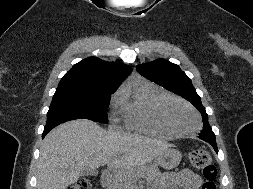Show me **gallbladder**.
Segmentation results:
<instances>
[{"label":"gallbladder","mask_w":253,"mask_h":189,"mask_svg":"<svg viewBox=\"0 0 253 189\" xmlns=\"http://www.w3.org/2000/svg\"><path fill=\"white\" fill-rule=\"evenodd\" d=\"M98 171L96 169L84 168L81 172L82 176L85 175H97Z\"/></svg>","instance_id":"bac80fb5"}]
</instances>
